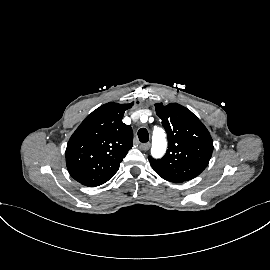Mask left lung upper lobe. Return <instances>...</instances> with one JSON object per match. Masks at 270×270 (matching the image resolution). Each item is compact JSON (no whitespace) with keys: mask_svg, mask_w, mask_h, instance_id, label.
I'll list each match as a JSON object with an SVG mask.
<instances>
[{"mask_svg":"<svg viewBox=\"0 0 270 270\" xmlns=\"http://www.w3.org/2000/svg\"><path fill=\"white\" fill-rule=\"evenodd\" d=\"M155 109L168 135V150L161 159L149 157L152 168L159 175L182 181L195 178L211 158L210 133L190 110L177 103H157Z\"/></svg>","mask_w":270,"mask_h":270,"instance_id":"left-lung-upper-lobe-1","label":"left lung upper lobe"}]
</instances>
